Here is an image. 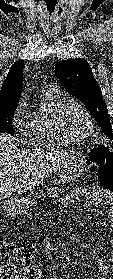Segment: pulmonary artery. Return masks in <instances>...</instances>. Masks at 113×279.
<instances>
[{"label": "pulmonary artery", "instance_id": "pulmonary-artery-1", "mask_svg": "<svg viewBox=\"0 0 113 279\" xmlns=\"http://www.w3.org/2000/svg\"><path fill=\"white\" fill-rule=\"evenodd\" d=\"M46 90L52 91L54 93H60V89L57 85L55 84H49L46 86Z\"/></svg>", "mask_w": 113, "mask_h": 279}]
</instances>
